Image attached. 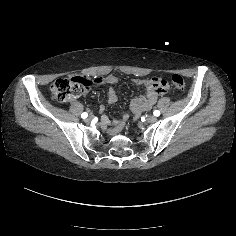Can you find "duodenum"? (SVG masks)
I'll list each match as a JSON object with an SVG mask.
<instances>
[{
  "label": "duodenum",
  "mask_w": 236,
  "mask_h": 236,
  "mask_svg": "<svg viewBox=\"0 0 236 236\" xmlns=\"http://www.w3.org/2000/svg\"><path fill=\"white\" fill-rule=\"evenodd\" d=\"M157 86V84H152L150 85V95L148 98H144V99H140L136 102V107H142L146 101L150 98H152L155 94H156V91H155V87ZM159 91V90H158Z\"/></svg>",
  "instance_id": "410a0bca"
}]
</instances>
